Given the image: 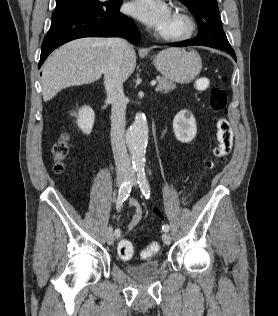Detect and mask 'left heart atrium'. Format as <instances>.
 <instances>
[{"mask_svg":"<svg viewBox=\"0 0 278 316\" xmlns=\"http://www.w3.org/2000/svg\"><path fill=\"white\" fill-rule=\"evenodd\" d=\"M127 8L132 16L155 29H161L171 13L163 0H133Z\"/></svg>","mask_w":278,"mask_h":316,"instance_id":"left-heart-atrium-1","label":"left heart atrium"}]
</instances>
